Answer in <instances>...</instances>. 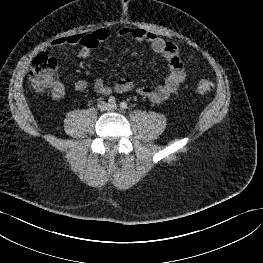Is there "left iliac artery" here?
I'll list each match as a JSON object with an SVG mask.
<instances>
[{
  "label": "left iliac artery",
  "mask_w": 263,
  "mask_h": 263,
  "mask_svg": "<svg viewBox=\"0 0 263 263\" xmlns=\"http://www.w3.org/2000/svg\"><path fill=\"white\" fill-rule=\"evenodd\" d=\"M121 109H127V103L126 102H121L120 103Z\"/></svg>",
  "instance_id": "obj_1"
}]
</instances>
